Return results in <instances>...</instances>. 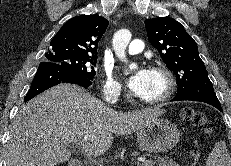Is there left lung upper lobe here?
Masks as SVG:
<instances>
[{
	"mask_svg": "<svg viewBox=\"0 0 231 166\" xmlns=\"http://www.w3.org/2000/svg\"><path fill=\"white\" fill-rule=\"evenodd\" d=\"M148 39L177 79V95L190 91H214L198 47L184 27L170 17L145 20Z\"/></svg>",
	"mask_w": 231,
	"mask_h": 166,
	"instance_id": "1",
	"label": "left lung upper lobe"
}]
</instances>
